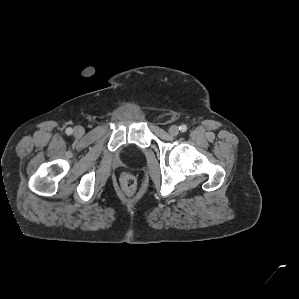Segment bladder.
I'll return each instance as SVG.
<instances>
[{
  "instance_id": "1",
  "label": "bladder",
  "mask_w": 299,
  "mask_h": 299,
  "mask_svg": "<svg viewBox=\"0 0 299 299\" xmlns=\"http://www.w3.org/2000/svg\"><path fill=\"white\" fill-rule=\"evenodd\" d=\"M125 156L130 160H136L141 156V151L135 147L129 146L124 151Z\"/></svg>"
}]
</instances>
